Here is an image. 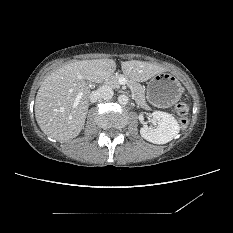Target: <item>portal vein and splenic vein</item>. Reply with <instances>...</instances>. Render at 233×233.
<instances>
[{
    "label": "portal vein and splenic vein",
    "instance_id": "1",
    "mask_svg": "<svg viewBox=\"0 0 233 233\" xmlns=\"http://www.w3.org/2000/svg\"><path fill=\"white\" fill-rule=\"evenodd\" d=\"M121 80L123 81L124 84L127 83V80H126L125 78L121 77ZM82 95H83L82 93H79V94L77 95V97H76V99H75V101H74V104H73L74 107H76V106L79 104V101H80Z\"/></svg>",
    "mask_w": 233,
    "mask_h": 233
}]
</instances>
